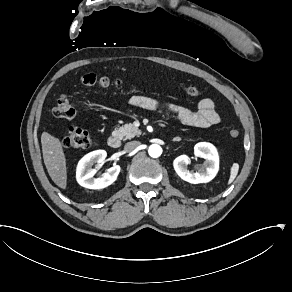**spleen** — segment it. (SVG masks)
<instances>
[{"label":"spleen","instance_id":"1","mask_svg":"<svg viewBox=\"0 0 292 292\" xmlns=\"http://www.w3.org/2000/svg\"><path fill=\"white\" fill-rule=\"evenodd\" d=\"M238 170H239V165L237 163H234L231 167V171H230V178L228 183H232L234 181V179L236 178L237 174H238Z\"/></svg>","mask_w":292,"mask_h":292}]
</instances>
